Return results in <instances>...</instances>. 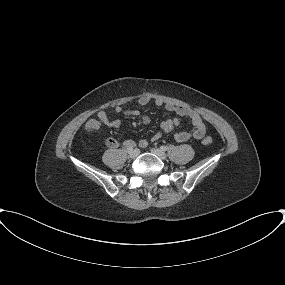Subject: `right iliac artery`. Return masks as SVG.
Instances as JSON below:
<instances>
[{
  "label": "right iliac artery",
  "mask_w": 285,
  "mask_h": 285,
  "mask_svg": "<svg viewBox=\"0 0 285 285\" xmlns=\"http://www.w3.org/2000/svg\"><path fill=\"white\" fill-rule=\"evenodd\" d=\"M127 147V151L130 152L133 150V146H126Z\"/></svg>",
  "instance_id": "1"
}]
</instances>
